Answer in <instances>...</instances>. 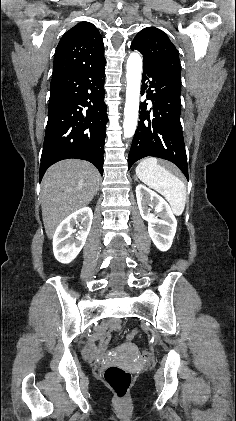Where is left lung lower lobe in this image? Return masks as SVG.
I'll list each match as a JSON object with an SVG mask.
<instances>
[{
	"label": "left lung lower lobe",
	"mask_w": 236,
	"mask_h": 421,
	"mask_svg": "<svg viewBox=\"0 0 236 421\" xmlns=\"http://www.w3.org/2000/svg\"><path fill=\"white\" fill-rule=\"evenodd\" d=\"M149 78L152 80L149 81ZM147 80L150 82L149 89L154 88L147 91V99L152 101V111H146L147 104H142L140 121L128 156V169L137 160L154 156L173 162L189 179L180 122L181 78L143 65V89L148 87L144 84Z\"/></svg>",
	"instance_id": "obj_1"
}]
</instances>
